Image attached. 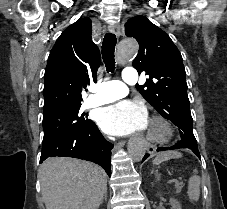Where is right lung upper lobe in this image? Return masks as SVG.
I'll list each match as a JSON object with an SVG mask.
<instances>
[{
  "label": "right lung upper lobe",
  "mask_w": 227,
  "mask_h": 209,
  "mask_svg": "<svg viewBox=\"0 0 227 209\" xmlns=\"http://www.w3.org/2000/svg\"><path fill=\"white\" fill-rule=\"evenodd\" d=\"M91 30V20L79 18L57 39L45 69V103L52 99L82 100V88L96 78L101 57Z\"/></svg>",
  "instance_id": "right-lung-upper-lobe-1"
}]
</instances>
